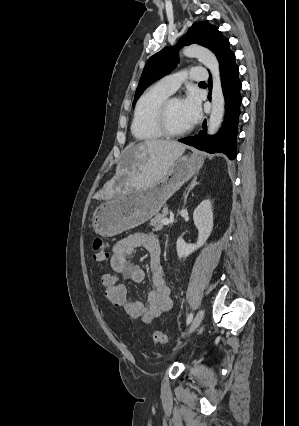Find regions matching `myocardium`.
Masks as SVG:
<instances>
[{"instance_id": "1", "label": "myocardium", "mask_w": 299, "mask_h": 426, "mask_svg": "<svg viewBox=\"0 0 299 426\" xmlns=\"http://www.w3.org/2000/svg\"><path fill=\"white\" fill-rule=\"evenodd\" d=\"M175 100H180V98L176 97V96L167 97L160 104V106L157 110L155 122H156V126H157L158 130L163 134V136H167V137L182 136V135H185L188 132H190V130L192 128V126L189 125L186 128L181 129V130H173L169 126V123H168L169 108H170L172 102L175 101Z\"/></svg>"}]
</instances>
